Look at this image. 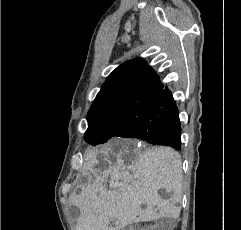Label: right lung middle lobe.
<instances>
[{"label":"right lung middle lobe","mask_w":241,"mask_h":230,"mask_svg":"<svg viewBox=\"0 0 241 230\" xmlns=\"http://www.w3.org/2000/svg\"><path fill=\"white\" fill-rule=\"evenodd\" d=\"M147 106L148 104L133 111H111L93 122H88L85 141L91 145H97L114 137L134 138L135 131L145 124L144 112Z\"/></svg>","instance_id":"dd1d6c3e"}]
</instances>
